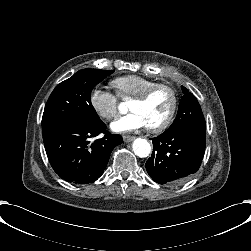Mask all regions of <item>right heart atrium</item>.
Segmentation results:
<instances>
[{"label": "right heart atrium", "mask_w": 251, "mask_h": 251, "mask_svg": "<svg viewBox=\"0 0 251 251\" xmlns=\"http://www.w3.org/2000/svg\"><path fill=\"white\" fill-rule=\"evenodd\" d=\"M88 101L93 111L102 118L110 119L118 112V97L106 88L93 87L89 92Z\"/></svg>", "instance_id": "right-heart-atrium-1"}]
</instances>
